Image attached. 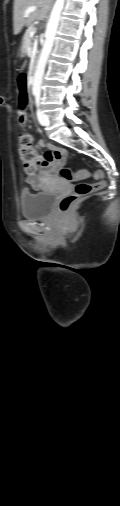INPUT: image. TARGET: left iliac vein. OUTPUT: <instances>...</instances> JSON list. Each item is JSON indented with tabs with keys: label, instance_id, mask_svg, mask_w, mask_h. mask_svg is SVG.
Instances as JSON below:
<instances>
[{
	"label": "left iliac vein",
	"instance_id": "1",
	"mask_svg": "<svg viewBox=\"0 0 120 506\" xmlns=\"http://www.w3.org/2000/svg\"><path fill=\"white\" fill-rule=\"evenodd\" d=\"M37 119L41 125L44 126L47 124L46 116L41 112L40 109L37 110Z\"/></svg>",
	"mask_w": 120,
	"mask_h": 506
}]
</instances>
